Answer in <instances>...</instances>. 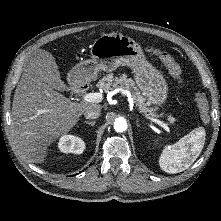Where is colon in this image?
<instances>
[{
    "label": "colon",
    "instance_id": "obj_1",
    "mask_svg": "<svg viewBox=\"0 0 221 221\" xmlns=\"http://www.w3.org/2000/svg\"><path fill=\"white\" fill-rule=\"evenodd\" d=\"M147 52L158 57L161 60V62L167 67L169 73L180 83H183L181 77V68L168 52L152 47H148ZM193 99L198 107L202 122L204 124H208L210 121L209 103L205 94L197 92L193 95Z\"/></svg>",
    "mask_w": 221,
    "mask_h": 221
}]
</instances>
